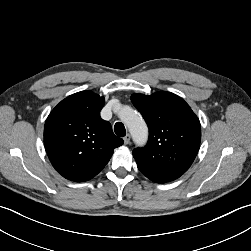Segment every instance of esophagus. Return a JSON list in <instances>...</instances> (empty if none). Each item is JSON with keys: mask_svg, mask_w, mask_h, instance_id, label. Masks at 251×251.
<instances>
[{"mask_svg": "<svg viewBox=\"0 0 251 251\" xmlns=\"http://www.w3.org/2000/svg\"><path fill=\"white\" fill-rule=\"evenodd\" d=\"M124 143L125 144H129L130 143V135L127 134L125 137H124Z\"/></svg>", "mask_w": 251, "mask_h": 251, "instance_id": "esophagus-1", "label": "esophagus"}]
</instances>
